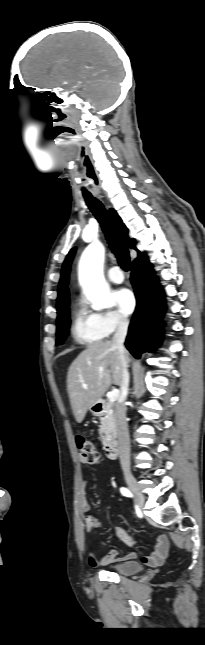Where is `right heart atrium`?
<instances>
[{
	"instance_id": "1",
	"label": "right heart atrium",
	"mask_w": 205,
	"mask_h": 645,
	"mask_svg": "<svg viewBox=\"0 0 205 645\" xmlns=\"http://www.w3.org/2000/svg\"><path fill=\"white\" fill-rule=\"evenodd\" d=\"M97 322L106 336L127 328L128 319L118 311L107 310L96 314Z\"/></svg>"
}]
</instances>
